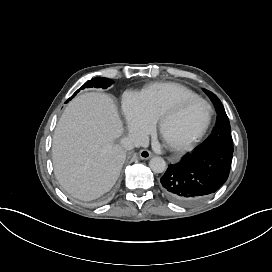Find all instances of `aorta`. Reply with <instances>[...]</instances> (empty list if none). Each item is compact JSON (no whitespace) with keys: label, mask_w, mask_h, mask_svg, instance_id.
<instances>
[{"label":"aorta","mask_w":272,"mask_h":272,"mask_svg":"<svg viewBox=\"0 0 272 272\" xmlns=\"http://www.w3.org/2000/svg\"><path fill=\"white\" fill-rule=\"evenodd\" d=\"M149 167L154 173H162L166 170V162L162 157H153L150 159Z\"/></svg>","instance_id":"762f6f07"}]
</instances>
